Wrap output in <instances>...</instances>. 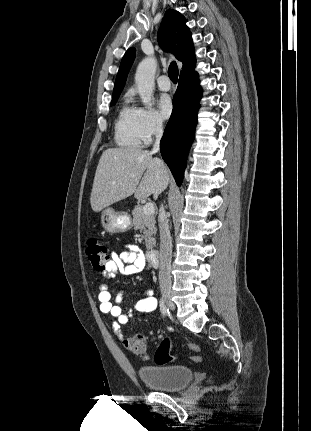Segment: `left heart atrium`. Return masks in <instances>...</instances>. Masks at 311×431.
I'll list each match as a JSON object with an SVG mask.
<instances>
[{"label":"left heart atrium","instance_id":"39dd6f15","mask_svg":"<svg viewBox=\"0 0 311 431\" xmlns=\"http://www.w3.org/2000/svg\"><path fill=\"white\" fill-rule=\"evenodd\" d=\"M159 108L162 116L168 119L174 112V103L169 95H162L159 101Z\"/></svg>","mask_w":311,"mask_h":431}]
</instances>
